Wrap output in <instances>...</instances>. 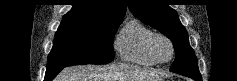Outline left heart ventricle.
<instances>
[{"mask_svg": "<svg viewBox=\"0 0 237 81\" xmlns=\"http://www.w3.org/2000/svg\"><path fill=\"white\" fill-rule=\"evenodd\" d=\"M157 54L161 60H167L170 57L171 49L169 44L164 40H159L157 42Z\"/></svg>", "mask_w": 237, "mask_h": 81, "instance_id": "obj_1", "label": "left heart ventricle"}]
</instances>
